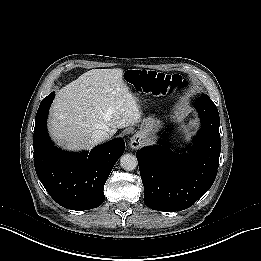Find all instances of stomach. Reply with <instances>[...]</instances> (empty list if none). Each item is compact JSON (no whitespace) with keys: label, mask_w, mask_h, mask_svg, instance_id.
Returning a JSON list of instances; mask_svg holds the SVG:
<instances>
[{"label":"stomach","mask_w":261,"mask_h":261,"mask_svg":"<svg viewBox=\"0 0 261 261\" xmlns=\"http://www.w3.org/2000/svg\"><path fill=\"white\" fill-rule=\"evenodd\" d=\"M162 128V122L154 117H148L144 119L140 131L137 132L138 137L143 144L151 145L155 143L157 139V133Z\"/></svg>","instance_id":"obj_1"}]
</instances>
